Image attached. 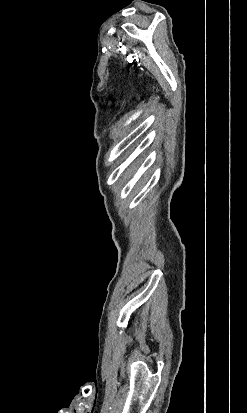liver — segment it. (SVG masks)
Returning <instances> with one entry per match:
<instances>
[{
    "instance_id": "obj_1",
    "label": "liver",
    "mask_w": 247,
    "mask_h": 413,
    "mask_svg": "<svg viewBox=\"0 0 247 413\" xmlns=\"http://www.w3.org/2000/svg\"><path fill=\"white\" fill-rule=\"evenodd\" d=\"M133 170H135V166H132V168H128L127 174H129V176H131V172H133Z\"/></svg>"
}]
</instances>
